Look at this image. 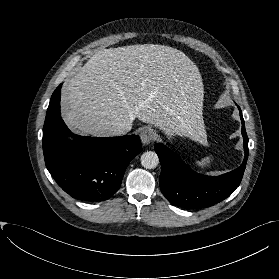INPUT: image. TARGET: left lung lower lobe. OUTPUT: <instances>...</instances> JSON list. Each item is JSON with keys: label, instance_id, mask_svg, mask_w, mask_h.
<instances>
[{"label": "left lung lower lobe", "instance_id": "0a47b994", "mask_svg": "<svg viewBox=\"0 0 279 279\" xmlns=\"http://www.w3.org/2000/svg\"><path fill=\"white\" fill-rule=\"evenodd\" d=\"M240 117L244 139V161L237 169L217 177L194 172L168 147L161 143L155 144V151L161 163L160 189L172 205L185 209L210 207L227 198L239 186L249 152L241 110Z\"/></svg>", "mask_w": 279, "mask_h": 279}]
</instances>
